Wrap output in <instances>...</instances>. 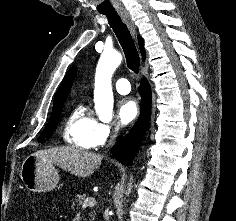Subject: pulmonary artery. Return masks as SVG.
Wrapping results in <instances>:
<instances>
[{"label": "pulmonary artery", "mask_w": 236, "mask_h": 221, "mask_svg": "<svg viewBox=\"0 0 236 221\" xmlns=\"http://www.w3.org/2000/svg\"><path fill=\"white\" fill-rule=\"evenodd\" d=\"M115 89L120 94H128L131 90L130 83L125 78H120L115 82Z\"/></svg>", "instance_id": "obj_1"}]
</instances>
